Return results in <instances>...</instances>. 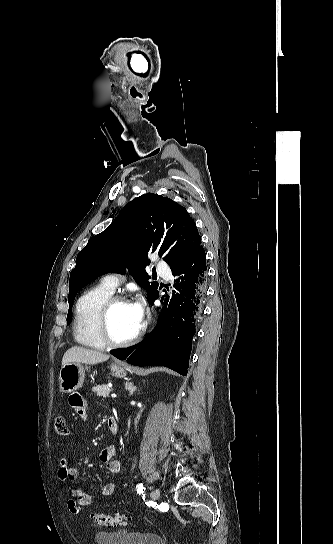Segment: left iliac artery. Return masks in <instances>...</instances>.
<instances>
[{"instance_id":"1","label":"left iliac artery","mask_w":333,"mask_h":544,"mask_svg":"<svg viewBox=\"0 0 333 544\" xmlns=\"http://www.w3.org/2000/svg\"><path fill=\"white\" fill-rule=\"evenodd\" d=\"M136 488H137V492H138V493H141V492H143V490H144V487H143V484H142V483L138 484V485L136 486Z\"/></svg>"}]
</instances>
